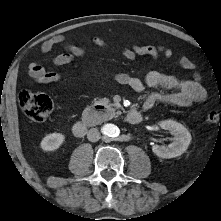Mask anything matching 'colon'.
<instances>
[{
	"label": "colon",
	"instance_id": "5ec220e1",
	"mask_svg": "<svg viewBox=\"0 0 221 221\" xmlns=\"http://www.w3.org/2000/svg\"><path fill=\"white\" fill-rule=\"evenodd\" d=\"M19 104L24 114L38 123L46 121L53 109V103L48 96L29 90L21 91ZM206 121L210 125H221V115L218 111L211 110L207 114Z\"/></svg>",
	"mask_w": 221,
	"mask_h": 221
}]
</instances>
